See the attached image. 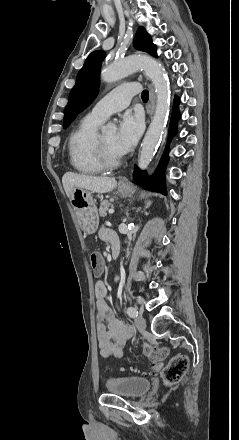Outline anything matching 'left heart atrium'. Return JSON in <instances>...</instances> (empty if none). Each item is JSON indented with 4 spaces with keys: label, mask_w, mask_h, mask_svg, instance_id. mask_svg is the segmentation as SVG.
<instances>
[{
    "label": "left heart atrium",
    "mask_w": 239,
    "mask_h": 440,
    "mask_svg": "<svg viewBox=\"0 0 239 440\" xmlns=\"http://www.w3.org/2000/svg\"><path fill=\"white\" fill-rule=\"evenodd\" d=\"M143 130V120L137 114L126 112L120 118L115 133L114 148L117 154L129 152L137 143Z\"/></svg>",
    "instance_id": "1"
}]
</instances>
